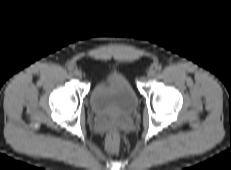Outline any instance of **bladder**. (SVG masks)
Returning a JSON list of instances; mask_svg holds the SVG:
<instances>
[{
    "mask_svg": "<svg viewBox=\"0 0 231 170\" xmlns=\"http://www.w3.org/2000/svg\"><path fill=\"white\" fill-rule=\"evenodd\" d=\"M89 105L96 116L123 117L135 111L138 98L127 78L112 72L96 82L90 93Z\"/></svg>",
    "mask_w": 231,
    "mask_h": 170,
    "instance_id": "1",
    "label": "bladder"
}]
</instances>
